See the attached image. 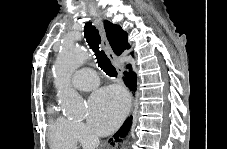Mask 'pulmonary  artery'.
I'll return each instance as SVG.
<instances>
[{
  "mask_svg": "<svg viewBox=\"0 0 227 149\" xmlns=\"http://www.w3.org/2000/svg\"><path fill=\"white\" fill-rule=\"evenodd\" d=\"M71 82L76 89L89 91L98 86L99 79L95 70L83 68L73 74Z\"/></svg>",
  "mask_w": 227,
  "mask_h": 149,
  "instance_id": "1",
  "label": "pulmonary artery"
}]
</instances>
